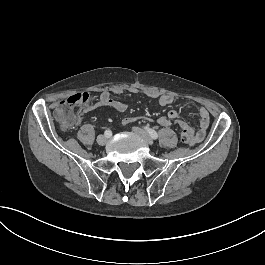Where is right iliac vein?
Returning <instances> with one entry per match:
<instances>
[{
    "mask_svg": "<svg viewBox=\"0 0 265 265\" xmlns=\"http://www.w3.org/2000/svg\"><path fill=\"white\" fill-rule=\"evenodd\" d=\"M107 137L105 135H99L97 137V142L100 146H104L107 143Z\"/></svg>",
    "mask_w": 265,
    "mask_h": 265,
    "instance_id": "1",
    "label": "right iliac vein"
}]
</instances>
